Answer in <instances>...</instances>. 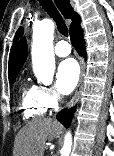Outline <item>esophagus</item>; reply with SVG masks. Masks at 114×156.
<instances>
[{
	"label": "esophagus",
	"mask_w": 114,
	"mask_h": 156,
	"mask_svg": "<svg viewBox=\"0 0 114 156\" xmlns=\"http://www.w3.org/2000/svg\"><path fill=\"white\" fill-rule=\"evenodd\" d=\"M84 71H85L84 59L82 57H80V77H79V80H78V84H77L75 93H74L72 99L70 100V102H69V104L67 106L68 108L73 107L77 103V101L79 99L82 84H83Z\"/></svg>",
	"instance_id": "obj_1"
}]
</instances>
